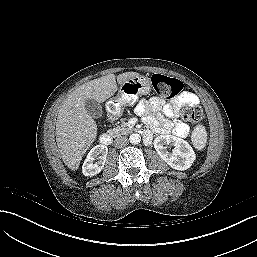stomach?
<instances>
[{
  "instance_id": "0dacf381",
  "label": "stomach",
  "mask_w": 257,
  "mask_h": 257,
  "mask_svg": "<svg viewBox=\"0 0 257 257\" xmlns=\"http://www.w3.org/2000/svg\"><path fill=\"white\" fill-rule=\"evenodd\" d=\"M151 90V81L145 76H136L120 85L118 101L123 105H132L141 95Z\"/></svg>"
}]
</instances>
